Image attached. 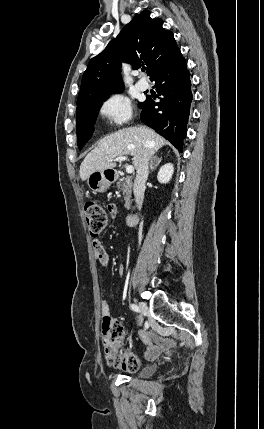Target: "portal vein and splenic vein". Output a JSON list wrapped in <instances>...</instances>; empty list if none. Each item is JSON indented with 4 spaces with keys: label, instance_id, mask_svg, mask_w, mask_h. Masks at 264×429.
<instances>
[{
    "label": "portal vein and splenic vein",
    "instance_id": "18ae733b",
    "mask_svg": "<svg viewBox=\"0 0 264 429\" xmlns=\"http://www.w3.org/2000/svg\"><path fill=\"white\" fill-rule=\"evenodd\" d=\"M126 159H127V157L119 156V157H116L115 159H113L112 161H123V160H126ZM126 172L128 174L133 173L134 172V167L132 165L127 166L126 167Z\"/></svg>",
    "mask_w": 264,
    "mask_h": 429
}]
</instances>
